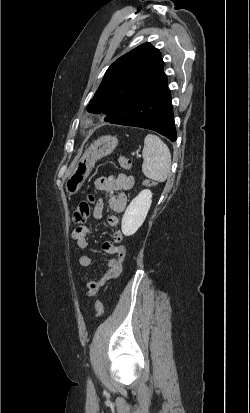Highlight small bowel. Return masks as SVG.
Listing matches in <instances>:
<instances>
[{"label": "small bowel", "instance_id": "c3829d8e", "mask_svg": "<svg viewBox=\"0 0 250 413\" xmlns=\"http://www.w3.org/2000/svg\"><path fill=\"white\" fill-rule=\"evenodd\" d=\"M133 185L134 178L125 174L101 177L95 182V188L109 197V205L115 213H121L124 211L127 204V195L125 192L130 190ZM97 190L93 191L94 195L98 194ZM103 210L104 202L100 199L93 210L94 218L100 219L102 217ZM107 223L111 227L118 226V216L116 214L108 216ZM91 234V227L80 226L72 232V238L75 240L78 248L87 249L90 246L89 238ZM122 240L123 233L120 229H117L112 234V241H106L103 243V250L112 255V257L107 262L105 273L88 282V296H94L108 281L113 280L120 275L122 271V264L126 256V248L122 244ZM91 263L92 259L88 255H81L78 257V264L81 267H88Z\"/></svg>", "mask_w": 250, "mask_h": 413}]
</instances>
